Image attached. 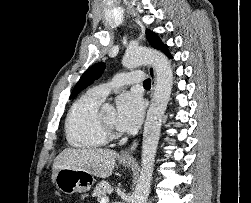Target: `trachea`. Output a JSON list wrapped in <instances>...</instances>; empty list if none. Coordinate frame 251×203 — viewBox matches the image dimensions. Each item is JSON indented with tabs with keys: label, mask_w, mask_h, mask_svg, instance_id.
Here are the masks:
<instances>
[{
	"label": "trachea",
	"mask_w": 251,
	"mask_h": 203,
	"mask_svg": "<svg viewBox=\"0 0 251 203\" xmlns=\"http://www.w3.org/2000/svg\"><path fill=\"white\" fill-rule=\"evenodd\" d=\"M143 85L144 86H151V80L150 79H146L144 82H143Z\"/></svg>",
	"instance_id": "3493384b"
}]
</instances>
